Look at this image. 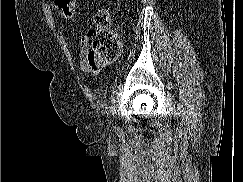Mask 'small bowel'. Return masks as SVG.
Masks as SVG:
<instances>
[{
    "instance_id": "small-bowel-1",
    "label": "small bowel",
    "mask_w": 243,
    "mask_h": 182,
    "mask_svg": "<svg viewBox=\"0 0 243 182\" xmlns=\"http://www.w3.org/2000/svg\"><path fill=\"white\" fill-rule=\"evenodd\" d=\"M80 48L81 69L83 72L96 75L109 64V60H103L90 55L88 48V38L85 35L80 37Z\"/></svg>"
}]
</instances>
